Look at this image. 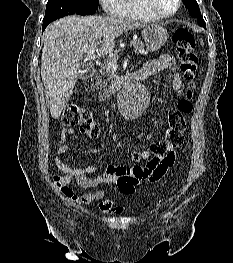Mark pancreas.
<instances>
[{"mask_svg": "<svg viewBox=\"0 0 233 263\" xmlns=\"http://www.w3.org/2000/svg\"><path fill=\"white\" fill-rule=\"evenodd\" d=\"M131 45L136 50H141L144 48V44L140 39H133ZM118 52L119 50L115 51V54L111 58L112 60L116 61L118 59ZM115 76V70L109 66L108 62H105L101 65L100 74L96 76V84L95 88L99 90V95L101 97L108 98L110 94H112L115 90L111 86L108 85L111 78Z\"/></svg>", "mask_w": 233, "mask_h": 263, "instance_id": "1", "label": "pancreas"}]
</instances>
